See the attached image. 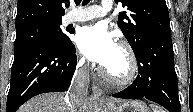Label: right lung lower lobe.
Here are the masks:
<instances>
[{"mask_svg":"<svg viewBox=\"0 0 193 112\" xmlns=\"http://www.w3.org/2000/svg\"><path fill=\"white\" fill-rule=\"evenodd\" d=\"M75 47L45 40L14 53L7 112H16L27 100L45 92H63L76 69Z\"/></svg>","mask_w":193,"mask_h":112,"instance_id":"1","label":"right lung lower lobe"}]
</instances>
